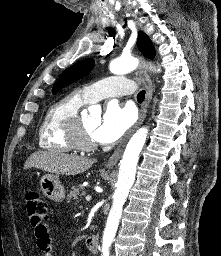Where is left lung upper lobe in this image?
<instances>
[{
    "mask_svg": "<svg viewBox=\"0 0 221 256\" xmlns=\"http://www.w3.org/2000/svg\"><path fill=\"white\" fill-rule=\"evenodd\" d=\"M137 44H138L139 50L146 57L150 59L154 58L155 56L154 46L151 40L149 39V37L142 31L138 32ZM93 67H94L93 59H85L72 65L61 74L58 81L52 88V92L55 93L61 90L62 88L68 86L69 84L75 82L76 80L82 78L83 76L89 74L90 71L93 69Z\"/></svg>",
    "mask_w": 221,
    "mask_h": 256,
    "instance_id": "1",
    "label": "left lung upper lobe"
}]
</instances>
